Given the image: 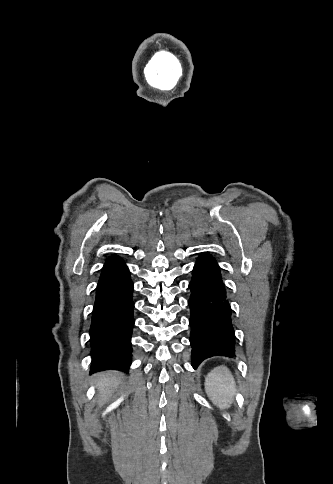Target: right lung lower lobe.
Segmentation results:
<instances>
[{
    "instance_id": "right-lung-lower-lobe-1",
    "label": "right lung lower lobe",
    "mask_w": 333,
    "mask_h": 484,
    "mask_svg": "<svg viewBox=\"0 0 333 484\" xmlns=\"http://www.w3.org/2000/svg\"><path fill=\"white\" fill-rule=\"evenodd\" d=\"M132 291L127 266L118 256H111L102 269L92 312L91 373L107 369L128 372L134 326Z\"/></svg>"
}]
</instances>
